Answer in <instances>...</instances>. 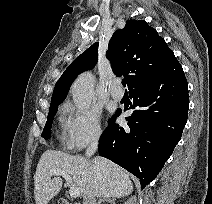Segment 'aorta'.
<instances>
[{
    "label": "aorta",
    "instance_id": "1",
    "mask_svg": "<svg viewBox=\"0 0 212 204\" xmlns=\"http://www.w3.org/2000/svg\"><path fill=\"white\" fill-rule=\"evenodd\" d=\"M95 77L90 72L82 73L71 88L74 104L82 109H88L94 96Z\"/></svg>",
    "mask_w": 212,
    "mask_h": 204
}]
</instances>
